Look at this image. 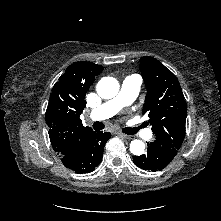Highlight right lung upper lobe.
I'll use <instances>...</instances> for the list:
<instances>
[{
  "mask_svg": "<svg viewBox=\"0 0 221 221\" xmlns=\"http://www.w3.org/2000/svg\"><path fill=\"white\" fill-rule=\"evenodd\" d=\"M103 67L91 62L71 64L55 83L46 110V123L54 151L60 157L79 153L94 132L81 124L85 95Z\"/></svg>",
  "mask_w": 221,
  "mask_h": 221,
  "instance_id": "right-lung-upper-lobe-1",
  "label": "right lung upper lobe"
}]
</instances>
